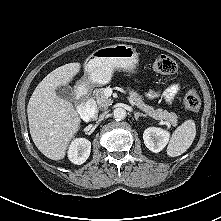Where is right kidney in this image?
Listing matches in <instances>:
<instances>
[{"mask_svg":"<svg viewBox=\"0 0 221 221\" xmlns=\"http://www.w3.org/2000/svg\"><path fill=\"white\" fill-rule=\"evenodd\" d=\"M90 152V141L85 138H78L72 141L68 150V158L72 163L80 165L88 159Z\"/></svg>","mask_w":221,"mask_h":221,"instance_id":"right-kidney-1","label":"right kidney"}]
</instances>
